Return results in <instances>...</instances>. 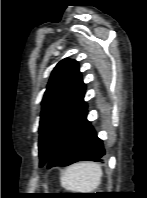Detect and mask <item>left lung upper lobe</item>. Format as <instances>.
<instances>
[{"label": "left lung upper lobe", "mask_w": 147, "mask_h": 198, "mask_svg": "<svg viewBox=\"0 0 147 198\" xmlns=\"http://www.w3.org/2000/svg\"><path fill=\"white\" fill-rule=\"evenodd\" d=\"M85 84L77 61H60L52 71L42 100L39 126L40 166L46 164L65 132L84 111Z\"/></svg>", "instance_id": "left-lung-upper-lobe-1"}]
</instances>
